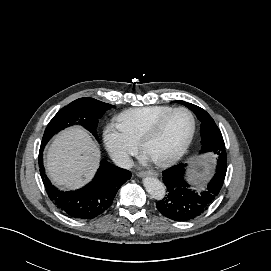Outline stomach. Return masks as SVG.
Here are the masks:
<instances>
[{
	"label": "stomach",
	"mask_w": 271,
	"mask_h": 271,
	"mask_svg": "<svg viewBox=\"0 0 271 271\" xmlns=\"http://www.w3.org/2000/svg\"><path fill=\"white\" fill-rule=\"evenodd\" d=\"M210 175V165L204 159L195 161L192 165L189 181L195 186V189L201 188L203 182Z\"/></svg>",
	"instance_id": "0dacf381"
}]
</instances>
